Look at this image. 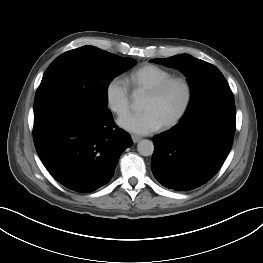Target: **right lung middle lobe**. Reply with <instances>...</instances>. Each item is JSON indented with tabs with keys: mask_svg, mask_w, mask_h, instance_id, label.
Returning <instances> with one entry per match:
<instances>
[{
	"mask_svg": "<svg viewBox=\"0 0 263 263\" xmlns=\"http://www.w3.org/2000/svg\"><path fill=\"white\" fill-rule=\"evenodd\" d=\"M136 64L93 46L58 56L46 69L37 89L34 111L59 103H74L107 113L108 86L114 77Z\"/></svg>",
	"mask_w": 263,
	"mask_h": 263,
	"instance_id": "obj_1",
	"label": "right lung middle lobe"
}]
</instances>
